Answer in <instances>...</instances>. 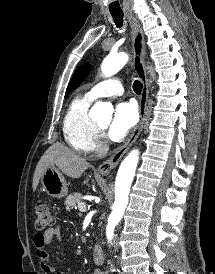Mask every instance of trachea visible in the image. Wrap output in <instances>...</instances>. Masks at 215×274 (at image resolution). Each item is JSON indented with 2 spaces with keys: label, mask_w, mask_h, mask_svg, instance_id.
<instances>
[{
  "label": "trachea",
  "mask_w": 215,
  "mask_h": 274,
  "mask_svg": "<svg viewBox=\"0 0 215 274\" xmlns=\"http://www.w3.org/2000/svg\"><path fill=\"white\" fill-rule=\"evenodd\" d=\"M113 20L117 27L121 28L123 26V13H111ZM142 83L138 80L133 83V90L135 93L140 94L142 91Z\"/></svg>",
  "instance_id": "trachea-1"
}]
</instances>
